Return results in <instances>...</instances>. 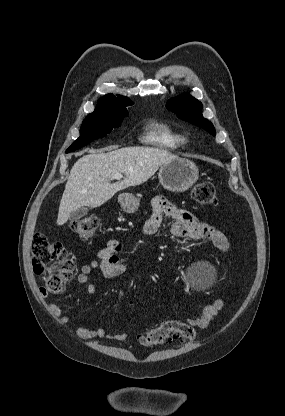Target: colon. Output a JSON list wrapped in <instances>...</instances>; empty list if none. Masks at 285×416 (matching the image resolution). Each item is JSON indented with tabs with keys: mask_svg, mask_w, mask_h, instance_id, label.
Segmentation results:
<instances>
[{
	"mask_svg": "<svg viewBox=\"0 0 285 416\" xmlns=\"http://www.w3.org/2000/svg\"><path fill=\"white\" fill-rule=\"evenodd\" d=\"M194 200L202 206L216 204V187L210 181L196 184L192 191ZM99 226L96 216H85L74 220L71 229L80 239H91ZM32 265L37 275H46V290L61 293L73 276L75 264L65 247L48 239L43 234H36L32 243ZM195 329L178 320H167L160 325L136 335L139 344L145 347L167 345L173 341L187 342L195 338Z\"/></svg>",
	"mask_w": 285,
	"mask_h": 416,
	"instance_id": "5ec220e1",
	"label": "colon"
}]
</instances>
